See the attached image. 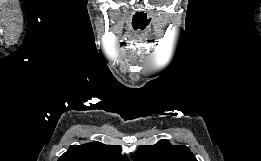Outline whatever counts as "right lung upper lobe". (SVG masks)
I'll use <instances>...</instances> for the list:
<instances>
[{
  "label": "right lung upper lobe",
  "mask_w": 261,
  "mask_h": 161,
  "mask_svg": "<svg viewBox=\"0 0 261 161\" xmlns=\"http://www.w3.org/2000/svg\"><path fill=\"white\" fill-rule=\"evenodd\" d=\"M120 152L119 146L100 142L72 145L58 161H129Z\"/></svg>",
  "instance_id": "cb5924a9"
}]
</instances>
